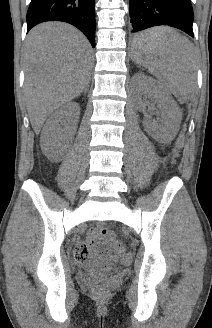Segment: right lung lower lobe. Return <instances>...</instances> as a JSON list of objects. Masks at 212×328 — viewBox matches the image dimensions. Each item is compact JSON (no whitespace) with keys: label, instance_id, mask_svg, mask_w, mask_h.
I'll list each match as a JSON object with an SVG mask.
<instances>
[{"label":"right lung lower lobe","instance_id":"1","mask_svg":"<svg viewBox=\"0 0 212 328\" xmlns=\"http://www.w3.org/2000/svg\"><path fill=\"white\" fill-rule=\"evenodd\" d=\"M44 21L68 22L80 29L95 46V0H31L27 31Z\"/></svg>","mask_w":212,"mask_h":328}]
</instances>
